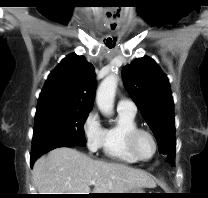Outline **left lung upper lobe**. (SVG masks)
Listing matches in <instances>:
<instances>
[{
	"mask_svg": "<svg viewBox=\"0 0 208 198\" xmlns=\"http://www.w3.org/2000/svg\"><path fill=\"white\" fill-rule=\"evenodd\" d=\"M124 85L158 142L159 152L174 166V103L167 76L150 57L123 67Z\"/></svg>",
	"mask_w": 208,
	"mask_h": 198,
	"instance_id": "1",
	"label": "left lung upper lobe"
}]
</instances>
